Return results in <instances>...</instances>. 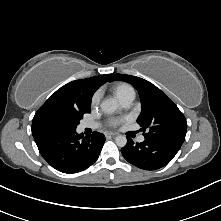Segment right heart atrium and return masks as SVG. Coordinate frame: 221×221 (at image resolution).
<instances>
[{
	"label": "right heart atrium",
	"instance_id": "right-heart-atrium-1",
	"mask_svg": "<svg viewBox=\"0 0 221 221\" xmlns=\"http://www.w3.org/2000/svg\"><path fill=\"white\" fill-rule=\"evenodd\" d=\"M100 100V93L97 91L92 95L91 104L96 105Z\"/></svg>",
	"mask_w": 221,
	"mask_h": 221
}]
</instances>
